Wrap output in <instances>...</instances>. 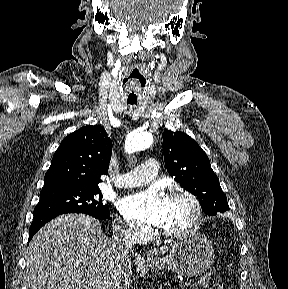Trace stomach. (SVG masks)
Here are the masks:
<instances>
[{"label":"stomach","mask_w":288,"mask_h":289,"mask_svg":"<svg viewBox=\"0 0 288 289\" xmlns=\"http://www.w3.org/2000/svg\"><path fill=\"white\" fill-rule=\"evenodd\" d=\"M214 256L212 242L204 234L194 233L172 244L165 256L151 259L146 265L156 270L196 277L210 268Z\"/></svg>","instance_id":"stomach-1"}]
</instances>
